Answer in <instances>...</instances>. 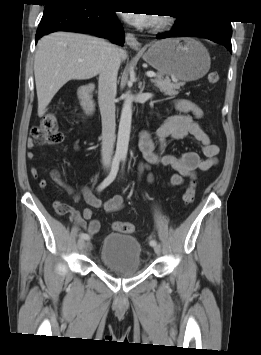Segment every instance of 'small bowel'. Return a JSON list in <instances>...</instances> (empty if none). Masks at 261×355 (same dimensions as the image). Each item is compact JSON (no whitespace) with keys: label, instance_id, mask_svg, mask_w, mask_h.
<instances>
[{"label":"small bowel","instance_id":"c3829d8e","mask_svg":"<svg viewBox=\"0 0 261 355\" xmlns=\"http://www.w3.org/2000/svg\"><path fill=\"white\" fill-rule=\"evenodd\" d=\"M175 108L178 114L170 117L162 124L154 134L142 132L140 136L139 148L143 155L144 162L140 164L139 171L149 169L152 166L171 167L174 172L169 175V184L171 186H181L185 178L195 179L197 171H206L217 164L219 147L212 143L209 136L198 124V120L203 118V110L194 102L188 99H178L175 101ZM192 140L201 149L202 155L195 151H189L181 156H175L166 152L169 141ZM33 146L29 142V147ZM27 157L32 159L34 153L29 151ZM33 178L39 177L36 167L30 168ZM53 181L63 187L68 193L73 194V187L64 181L58 170L53 169L50 172ZM147 180L151 182L153 175L150 173ZM40 187L45 188L47 182L40 181ZM83 196L85 201L93 208H102L107 214L115 213L123 208L124 196L115 195L106 201H102L94 196L87 187H83L81 194L74 195L78 201ZM60 214H69L70 218L86 230L90 235L96 234L100 229V222L94 218V212L86 208L80 214L77 210L63 204H57Z\"/></svg>","mask_w":261,"mask_h":355}]
</instances>
